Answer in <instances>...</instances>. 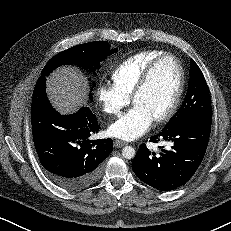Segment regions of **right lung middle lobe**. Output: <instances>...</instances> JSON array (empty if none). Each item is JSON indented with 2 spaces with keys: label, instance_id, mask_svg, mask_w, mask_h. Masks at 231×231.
<instances>
[{
  "label": "right lung middle lobe",
  "instance_id": "right-lung-middle-lobe-1",
  "mask_svg": "<svg viewBox=\"0 0 231 231\" xmlns=\"http://www.w3.org/2000/svg\"><path fill=\"white\" fill-rule=\"evenodd\" d=\"M116 51L117 49L111 50L106 41L89 42L73 46L50 59L42 70L41 76L45 77L57 67L67 64L89 68L94 74L96 69L101 67L100 62Z\"/></svg>",
  "mask_w": 231,
  "mask_h": 231
}]
</instances>
